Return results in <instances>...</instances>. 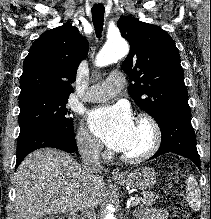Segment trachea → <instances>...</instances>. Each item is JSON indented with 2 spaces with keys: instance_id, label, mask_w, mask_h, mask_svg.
<instances>
[{
  "instance_id": "1",
  "label": "trachea",
  "mask_w": 211,
  "mask_h": 219,
  "mask_svg": "<svg viewBox=\"0 0 211 219\" xmlns=\"http://www.w3.org/2000/svg\"><path fill=\"white\" fill-rule=\"evenodd\" d=\"M91 11L96 35L100 38L103 30L105 8L99 4L93 6Z\"/></svg>"
}]
</instances>
